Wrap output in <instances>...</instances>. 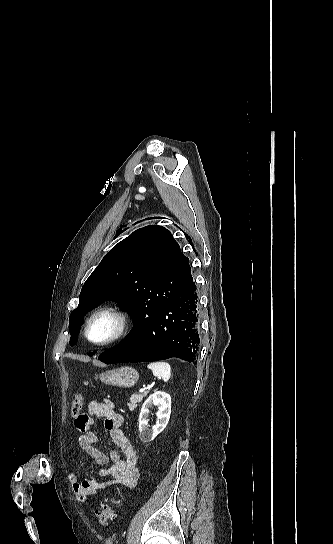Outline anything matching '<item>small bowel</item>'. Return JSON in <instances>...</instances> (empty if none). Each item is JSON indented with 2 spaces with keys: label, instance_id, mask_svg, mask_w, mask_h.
Here are the masks:
<instances>
[{
  "label": "small bowel",
  "instance_id": "small-bowel-1",
  "mask_svg": "<svg viewBox=\"0 0 333 544\" xmlns=\"http://www.w3.org/2000/svg\"><path fill=\"white\" fill-rule=\"evenodd\" d=\"M94 417L104 419L105 428L118 448V451H112L109 456L96 446L99 442V436L93 428L95 425ZM123 422V416L116 410L114 404L107 399L90 401L88 403V414H80L75 419V427L80 432L78 444L81 449L93 457L100 465H105L109 461L112 462L109 467L100 469L96 475L84 480H80L77 473L69 474L68 480L79 500H85L112 485L127 487L136 485L139 478L137 456L133 445L122 430ZM103 478L109 479L104 480Z\"/></svg>",
  "mask_w": 333,
  "mask_h": 544
}]
</instances>
